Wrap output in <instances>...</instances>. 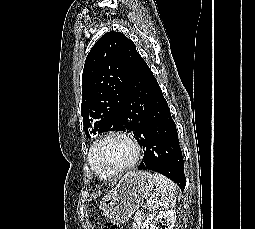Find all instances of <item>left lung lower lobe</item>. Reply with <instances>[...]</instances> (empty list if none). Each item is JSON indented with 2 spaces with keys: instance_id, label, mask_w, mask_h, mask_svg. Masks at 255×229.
Listing matches in <instances>:
<instances>
[{
  "instance_id": "1",
  "label": "left lung lower lobe",
  "mask_w": 255,
  "mask_h": 229,
  "mask_svg": "<svg viewBox=\"0 0 255 229\" xmlns=\"http://www.w3.org/2000/svg\"><path fill=\"white\" fill-rule=\"evenodd\" d=\"M120 118L143 146L138 169L159 172L183 191L186 178L177 129L161 88L142 58L126 90Z\"/></svg>"
}]
</instances>
